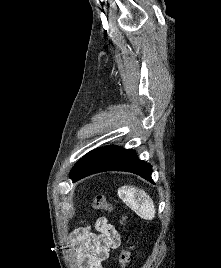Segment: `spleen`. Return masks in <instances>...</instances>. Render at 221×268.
Wrapping results in <instances>:
<instances>
[{
    "instance_id": "3e777b00",
    "label": "spleen",
    "mask_w": 221,
    "mask_h": 268,
    "mask_svg": "<svg viewBox=\"0 0 221 268\" xmlns=\"http://www.w3.org/2000/svg\"><path fill=\"white\" fill-rule=\"evenodd\" d=\"M118 196L141 218L152 220L155 217L153 201L145 191L136 187L122 186L118 189Z\"/></svg>"
}]
</instances>
